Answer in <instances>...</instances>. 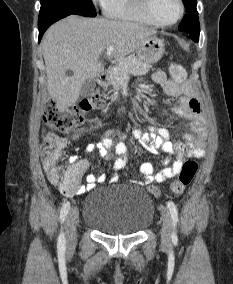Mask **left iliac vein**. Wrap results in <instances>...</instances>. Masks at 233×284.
I'll return each instance as SVG.
<instances>
[{"instance_id":"1","label":"left iliac vein","mask_w":233,"mask_h":284,"mask_svg":"<svg viewBox=\"0 0 233 284\" xmlns=\"http://www.w3.org/2000/svg\"><path fill=\"white\" fill-rule=\"evenodd\" d=\"M161 219V242L163 245L168 246L171 242L172 220L169 211L165 207L161 209Z\"/></svg>"}]
</instances>
